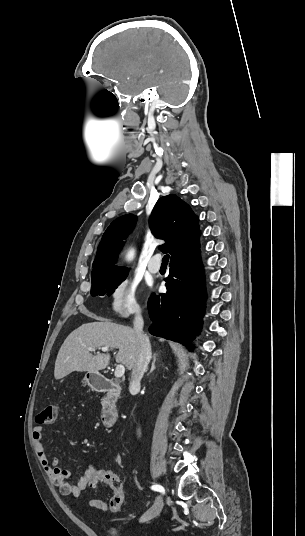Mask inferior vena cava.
<instances>
[{"instance_id": "1", "label": "inferior vena cava", "mask_w": 305, "mask_h": 536, "mask_svg": "<svg viewBox=\"0 0 305 536\" xmlns=\"http://www.w3.org/2000/svg\"><path fill=\"white\" fill-rule=\"evenodd\" d=\"M135 312L136 316L133 322V326L139 340H141V346L137 362L132 370V382L129 388L131 392H134V390H140V382L144 376V372H146L147 370V366L151 358V348L149 340L147 336L143 334L144 320L141 316L140 310H135ZM138 434H140L139 430Z\"/></svg>"}]
</instances>
